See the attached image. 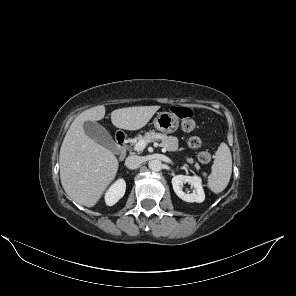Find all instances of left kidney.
I'll use <instances>...</instances> for the list:
<instances>
[{"mask_svg":"<svg viewBox=\"0 0 296 296\" xmlns=\"http://www.w3.org/2000/svg\"><path fill=\"white\" fill-rule=\"evenodd\" d=\"M186 183L194 188L192 193H186L183 191V186ZM172 186L176 195L186 202L201 203L205 199L202 179L199 176L176 175L172 178Z\"/></svg>","mask_w":296,"mask_h":296,"instance_id":"left-kidney-1","label":"left kidney"}]
</instances>
